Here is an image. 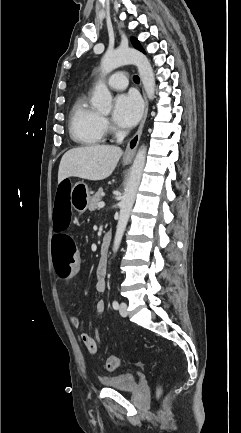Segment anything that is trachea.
I'll return each instance as SVG.
<instances>
[{"label":"trachea","mask_w":241,"mask_h":433,"mask_svg":"<svg viewBox=\"0 0 241 433\" xmlns=\"http://www.w3.org/2000/svg\"><path fill=\"white\" fill-rule=\"evenodd\" d=\"M133 80H134L135 83H139L140 78H139L137 75H135V76L133 77Z\"/></svg>","instance_id":"trachea-1"}]
</instances>
